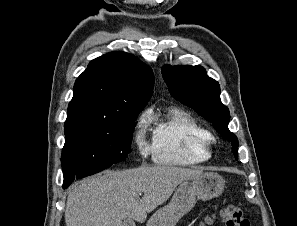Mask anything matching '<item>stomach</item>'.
Wrapping results in <instances>:
<instances>
[{"label": "stomach", "mask_w": 297, "mask_h": 226, "mask_svg": "<svg viewBox=\"0 0 297 226\" xmlns=\"http://www.w3.org/2000/svg\"><path fill=\"white\" fill-rule=\"evenodd\" d=\"M224 183L219 174L212 172L203 173L198 179L183 181L170 203L157 210L146 226H175L194 207L196 199L206 201L221 195Z\"/></svg>", "instance_id": "0dacf381"}]
</instances>
